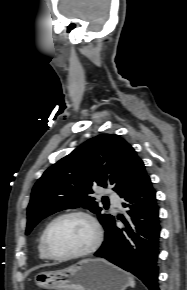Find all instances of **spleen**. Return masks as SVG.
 <instances>
[{"label":"spleen","instance_id":"3e777b00","mask_svg":"<svg viewBox=\"0 0 187 290\" xmlns=\"http://www.w3.org/2000/svg\"><path fill=\"white\" fill-rule=\"evenodd\" d=\"M129 284H130L131 287L135 286V282H134L132 277H129Z\"/></svg>","mask_w":187,"mask_h":290}]
</instances>
